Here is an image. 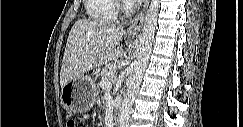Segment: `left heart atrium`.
Listing matches in <instances>:
<instances>
[{"mask_svg": "<svg viewBox=\"0 0 243 127\" xmlns=\"http://www.w3.org/2000/svg\"><path fill=\"white\" fill-rule=\"evenodd\" d=\"M130 3H134L135 1H129Z\"/></svg>", "mask_w": 243, "mask_h": 127, "instance_id": "left-heart-atrium-1", "label": "left heart atrium"}]
</instances>
